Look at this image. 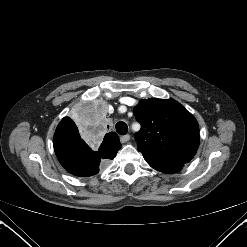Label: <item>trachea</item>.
Listing matches in <instances>:
<instances>
[{
    "label": "trachea",
    "instance_id": "obj_1",
    "mask_svg": "<svg viewBox=\"0 0 247 247\" xmlns=\"http://www.w3.org/2000/svg\"><path fill=\"white\" fill-rule=\"evenodd\" d=\"M116 131L120 135H125L128 132V126L125 122L120 121L116 123Z\"/></svg>",
    "mask_w": 247,
    "mask_h": 247
}]
</instances>
